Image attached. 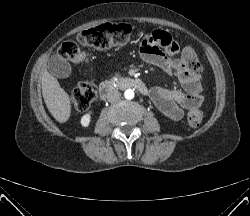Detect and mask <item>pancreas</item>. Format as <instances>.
<instances>
[{
    "mask_svg": "<svg viewBox=\"0 0 250 216\" xmlns=\"http://www.w3.org/2000/svg\"><path fill=\"white\" fill-rule=\"evenodd\" d=\"M115 76H116V77H118L119 75H118V74H116Z\"/></svg>",
    "mask_w": 250,
    "mask_h": 216,
    "instance_id": "1",
    "label": "pancreas"
}]
</instances>
